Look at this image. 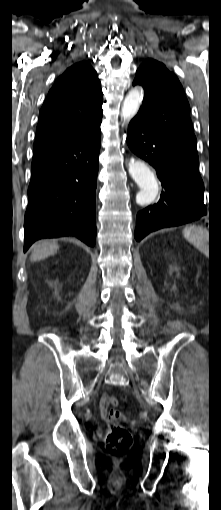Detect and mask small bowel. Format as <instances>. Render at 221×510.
Listing matches in <instances>:
<instances>
[{
    "label": "small bowel",
    "instance_id": "1",
    "mask_svg": "<svg viewBox=\"0 0 221 510\" xmlns=\"http://www.w3.org/2000/svg\"><path fill=\"white\" fill-rule=\"evenodd\" d=\"M110 399H111L110 395L104 394V395H102V397L100 398V400L98 402L99 413L102 416V418H104L106 421H108L107 415L112 410V409H110Z\"/></svg>",
    "mask_w": 221,
    "mask_h": 510
}]
</instances>
